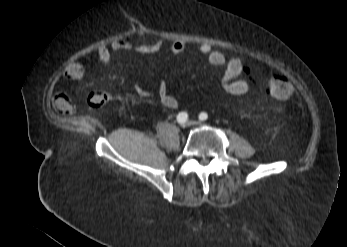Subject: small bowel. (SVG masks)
<instances>
[{"label":"small bowel","mask_w":347,"mask_h":247,"mask_svg":"<svg viewBox=\"0 0 347 247\" xmlns=\"http://www.w3.org/2000/svg\"><path fill=\"white\" fill-rule=\"evenodd\" d=\"M165 44L163 40L131 42L126 39H119L112 43L111 47L108 45L98 46L96 54L102 64H107L111 59L112 51H134L140 55H152L162 51ZM169 46L172 53L180 54L185 50L186 43L182 40H172L169 42ZM198 50L207 57L211 66L222 69L221 85L226 93L233 96H243L249 92L251 72L241 58L237 56L227 58L222 51L206 43L200 44ZM85 73L86 67L79 62H73L65 69V76L74 80L83 78ZM168 90L166 81L158 83L157 96L160 103L170 109L178 107L177 98L169 94ZM136 91L144 99L152 97V94L139 83L136 84ZM53 108L64 116H71L76 112L74 103L65 93H60L54 98Z\"/></svg>","instance_id":"1"}]
</instances>
